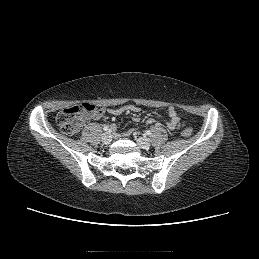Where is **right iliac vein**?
<instances>
[{
  "label": "right iliac vein",
  "mask_w": 259,
  "mask_h": 259,
  "mask_svg": "<svg viewBox=\"0 0 259 259\" xmlns=\"http://www.w3.org/2000/svg\"><path fill=\"white\" fill-rule=\"evenodd\" d=\"M112 141V136L109 132H105L103 135H102V142L104 144H109L110 142Z\"/></svg>",
  "instance_id": "1"
}]
</instances>
